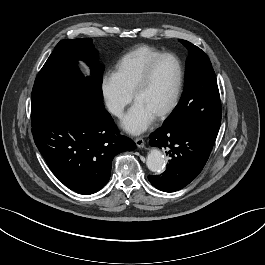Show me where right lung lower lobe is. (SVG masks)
Wrapping results in <instances>:
<instances>
[{
    "label": "right lung lower lobe",
    "mask_w": 265,
    "mask_h": 265,
    "mask_svg": "<svg viewBox=\"0 0 265 265\" xmlns=\"http://www.w3.org/2000/svg\"><path fill=\"white\" fill-rule=\"evenodd\" d=\"M36 146L54 175L79 194H93L110 179L113 158L132 151L102 101L79 93L32 126Z\"/></svg>",
    "instance_id": "right-lung-lower-lobe-1"
}]
</instances>
